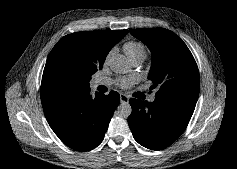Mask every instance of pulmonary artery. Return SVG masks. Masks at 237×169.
I'll list each match as a JSON object with an SVG mask.
<instances>
[{
	"label": "pulmonary artery",
	"mask_w": 237,
	"mask_h": 169,
	"mask_svg": "<svg viewBox=\"0 0 237 169\" xmlns=\"http://www.w3.org/2000/svg\"><path fill=\"white\" fill-rule=\"evenodd\" d=\"M141 62H142V60H137V61H134L133 63L135 65H139ZM109 83H110V81L108 79H96V80L93 81V86L96 87L98 85H105V84H109ZM149 100L151 102H153L154 101V97H151Z\"/></svg>",
	"instance_id": "obj_1"
}]
</instances>
